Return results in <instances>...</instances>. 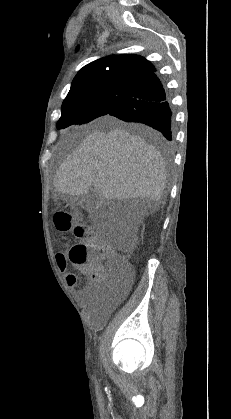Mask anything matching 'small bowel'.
Here are the masks:
<instances>
[{
	"label": "small bowel",
	"mask_w": 231,
	"mask_h": 419,
	"mask_svg": "<svg viewBox=\"0 0 231 419\" xmlns=\"http://www.w3.org/2000/svg\"><path fill=\"white\" fill-rule=\"evenodd\" d=\"M57 263H58V266L61 270H63V271L67 270L66 260H63V259L60 258L59 260H57ZM81 269H82V271L88 273L86 266L81 268ZM65 282H66L67 286L74 287L78 283V277L74 273L67 272L65 274ZM90 292H91V288H89V287L80 290L79 293H80V296H81L82 303L89 304Z\"/></svg>",
	"instance_id": "obj_1"
}]
</instances>
